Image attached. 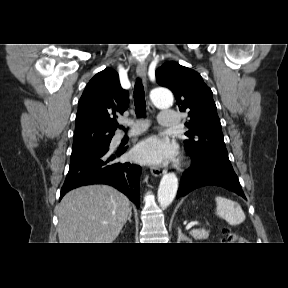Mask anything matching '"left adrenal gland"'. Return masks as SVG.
Returning a JSON list of instances; mask_svg holds the SVG:
<instances>
[{
	"mask_svg": "<svg viewBox=\"0 0 288 288\" xmlns=\"http://www.w3.org/2000/svg\"><path fill=\"white\" fill-rule=\"evenodd\" d=\"M179 241H191V239L187 236H185L182 232L181 229L178 227V242Z\"/></svg>",
	"mask_w": 288,
	"mask_h": 288,
	"instance_id": "left-adrenal-gland-1",
	"label": "left adrenal gland"
}]
</instances>
